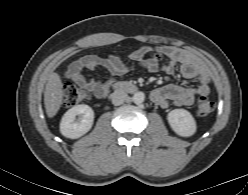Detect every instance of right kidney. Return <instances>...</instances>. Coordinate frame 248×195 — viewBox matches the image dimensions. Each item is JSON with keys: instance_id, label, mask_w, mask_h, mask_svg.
<instances>
[{"instance_id": "ca27d5eb", "label": "right kidney", "mask_w": 248, "mask_h": 195, "mask_svg": "<svg viewBox=\"0 0 248 195\" xmlns=\"http://www.w3.org/2000/svg\"><path fill=\"white\" fill-rule=\"evenodd\" d=\"M79 116L78 119L76 117ZM94 111L85 104L76 105L69 109L60 122V132L63 136L77 139L86 134L92 127Z\"/></svg>"}]
</instances>
